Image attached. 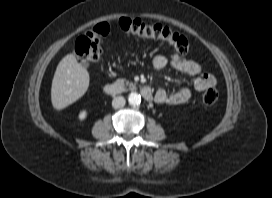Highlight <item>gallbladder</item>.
Wrapping results in <instances>:
<instances>
[{"mask_svg":"<svg viewBox=\"0 0 272 198\" xmlns=\"http://www.w3.org/2000/svg\"><path fill=\"white\" fill-rule=\"evenodd\" d=\"M82 65H83L84 67H88V66H89V63L83 60V61H82Z\"/></svg>","mask_w":272,"mask_h":198,"instance_id":"1","label":"gallbladder"}]
</instances>
